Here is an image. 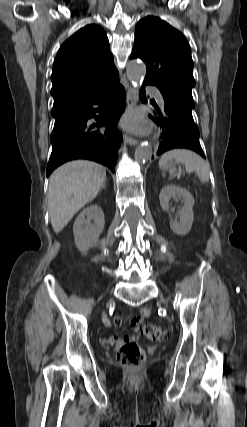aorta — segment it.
Here are the masks:
<instances>
[{
    "instance_id": "1",
    "label": "aorta",
    "mask_w": 247,
    "mask_h": 427,
    "mask_svg": "<svg viewBox=\"0 0 247 427\" xmlns=\"http://www.w3.org/2000/svg\"><path fill=\"white\" fill-rule=\"evenodd\" d=\"M129 81L134 86H140L146 75V67L136 61L130 62L126 70ZM153 155V148L150 144L140 145L135 150V160L139 163L148 161Z\"/></svg>"
}]
</instances>
